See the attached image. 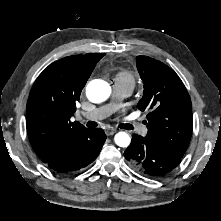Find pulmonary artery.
Returning <instances> with one entry per match:
<instances>
[{"label":"pulmonary artery","mask_w":221,"mask_h":221,"mask_svg":"<svg viewBox=\"0 0 221 221\" xmlns=\"http://www.w3.org/2000/svg\"><path fill=\"white\" fill-rule=\"evenodd\" d=\"M133 88H134V86L131 84H128V83L114 82V85H113L114 99L121 100L123 98L128 97L133 92ZM117 109H118V104L115 102H111L107 105L98 107L92 111L85 113L83 115V117L89 121H99V120H102V119L108 117L113 112H115ZM132 125L134 127H136V129L140 132L144 130L143 125L137 121L133 122Z\"/></svg>","instance_id":"1"}]
</instances>
